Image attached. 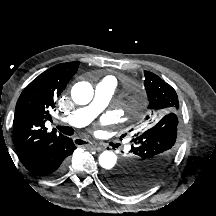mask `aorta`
I'll return each instance as SVG.
<instances>
[{"label": "aorta", "mask_w": 216, "mask_h": 216, "mask_svg": "<svg viewBox=\"0 0 216 216\" xmlns=\"http://www.w3.org/2000/svg\"><path fill=\"white\" fill-rule=\"evenodd\" d=\"M93 88L88 82L76 83L71 91L73 101L78 105H86L93 98ZM99 165L106 170L112 169L117 163V156L112 151H104L99 156Z\"/></svg>", "instance_id": "1"}]
</instances>
